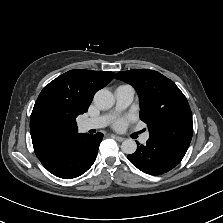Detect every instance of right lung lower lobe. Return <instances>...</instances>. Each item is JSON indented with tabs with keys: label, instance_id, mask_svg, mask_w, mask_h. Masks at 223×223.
Wrapping results in <instances>:
<instances>
[{
	"label": "right lung lower lobe",
	"instance_id": "obj_1",
	"mask_svg": "<svg viewBox=\"0 0 223 223\" xmlns=\"http://www.w3.org/2000/svg\"><path fill=\"white\" fill-rule=\"evenodd\" d=\"M103 135L78 134L51 156L40 160L53 175L76 178L85 173L94 163Z\"/></svg>",
	"mask_w": 223,
	"mask_h": 223
}]
</instances>
